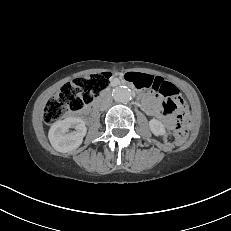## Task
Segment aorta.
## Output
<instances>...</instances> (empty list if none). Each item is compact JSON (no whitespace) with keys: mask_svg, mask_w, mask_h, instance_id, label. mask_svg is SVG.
Returning <instances> with one entry per match:
<instances>
[{"mask_svg":"<svg viewBox=\"0 0 231 231\" xmlns=\"http://www.w3.org/2000/svg\"><path fill=\"white\" fill-rule=\"evenodd\" d=\"M112 96L116 102L127 103L131 100L132 93L127 87L119 86L112 91Z\"/></svg>","mask_w":231,"mask_h":231,"instance_id":"1","label":"aorta"}]
</instances>
